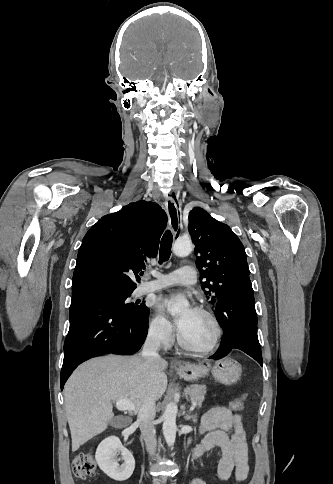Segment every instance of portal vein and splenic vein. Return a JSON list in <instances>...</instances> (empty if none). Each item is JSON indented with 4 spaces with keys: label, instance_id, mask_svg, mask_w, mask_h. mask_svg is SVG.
Instances as JSON below:
<instances>
[{
    "label": "portal vein and splenic vein",
    "instance_id": "obj_1",
    "mask_svg": "<svg viewBox=\"0 0 333 484\" xmlns=\"http://www.w3.org/2000/svg\"><path fill=\"white\" fill-rule=\"evenodd\" d=\"M196 404H193L191 409L193 410L195 408ZM116 407L120 411H130L133 412L135 410V407L132 403V401L128 398H123L119 399L116 401Z\"/></svg>",
    "mask_w": 333,
    "mask_h": 484
}]
</instances>
